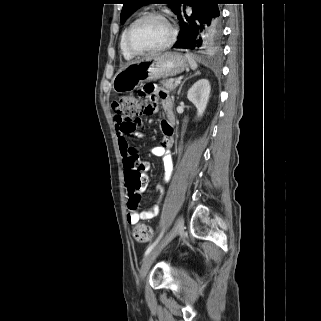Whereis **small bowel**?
<instances>
[{
  "label": "small bowel",
  "mask_w": 321,
  "mask_h": 321,
  "mask_svg": "<svg viewBox=\"0 0 321 321\" xmlns=\"http://www.w3.org/2000/svg\"><path fill=\"white\" fill-rule=\"evenodd\" d=\"M136 96H144L151 105L152 110L155 108V102L158 97L161 100L162 107L165 111V118L161 122V131L163 139L158 146L152 149V154L161 157L164 167V181H168L173 170V159L170 153V148L173 144L175 133V114L173 111V103L168 93L165 90L159 89L155 82H142L141 86H137L135 91ZM117 103L112 104L114 110V122L117 134L118 146L123 158L124 166L131 158H139L138 150L130 145L131 140L142 138L143 134L140 131L142 123L140 120L125 119L117 111ZM161 190V186L157 187ZM160 204L156 202L148 209L136 211L130 206L127 209V221L129 224H136L139 221H148L159 215Z\"/></svg>",
  "instance_id": "1"
}]
</instances>
